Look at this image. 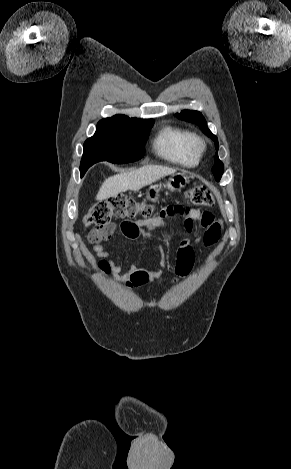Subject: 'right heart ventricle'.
I'll return each instance as SVG.
<instances>
[{"label": "right heart ventricle", "mask_w": 291, "mask_h": 469, "mask_svg": "<svg viewBox=\"0 0 291 469\" xmlns=\"http://www.w3.org/2000/svg\"><path fill=\"white\" fill-rule=\"evenodd\" d=\"M196 135L182 127L166 125L156 134L152 149L161 159L182 167H195L200 157L194 152Z\"/></svg>", "instance_id": "obj_1"}]
</instances>
